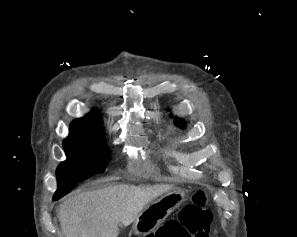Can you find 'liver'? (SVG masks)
<instances>
[{
  "label": "liver",
  "instance_id": "1",
  "mask_svg": "<svg viewBox=\"0 0 297 237\" xmlns=\"http://www.w3.org/2000/svg\"><path fill=\"white\" fill-rule=\"evenodd\" d=\"M171 188L121 184L82 192L60 205L62 229L66 237H117L119 223L130 225L150 201Z\"/></svg>",
  "mask_w": 297,
  "mask_h": 237
}]
</instances>
